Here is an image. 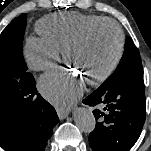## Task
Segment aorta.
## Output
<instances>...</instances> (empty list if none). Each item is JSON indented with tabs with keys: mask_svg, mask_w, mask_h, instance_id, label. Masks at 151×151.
I'll use <instances>...</instances> for the list:
<instances>
[{
	"mask_svg": "<svg viewBox=\"0 0 151 151\" xmlns=\"http://www.w3.org/2000/svg\"><path fill=\"white\" fill-rule=\"evenodd\" d=\"M74 121L77 127L85 133L92 132L96 126V119L93 113L84 107H79L74 111Z\"/></svg>",
	"mask_w": 151,
	"mask_h": 151,
	"instance_id": "762f6f07",
	"label": "aorta"
}]
</instances>
